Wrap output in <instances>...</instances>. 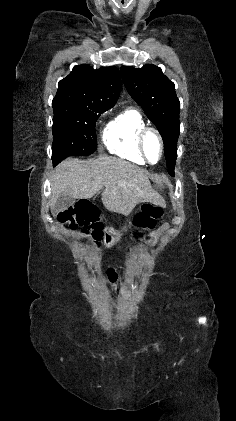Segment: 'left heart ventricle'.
<instances>
[{
  "mask_svg": "<svg viewBox=\"0 0 236 421\" xmlns=\"http://www.w3.org/2000/svg\"><path fill=\"white\" fill-rule=\"evenodd\" d=\"M146 151L151 163H157L161 157V145L158 138L150 134L146 138Z\"/></svg>",
  "mask_w": 236,
  "mask_h": 421,
  "instance_id": "1",
  "label": "left heart ventricle"
}]
</instances>
